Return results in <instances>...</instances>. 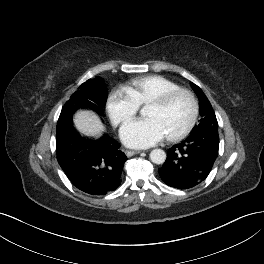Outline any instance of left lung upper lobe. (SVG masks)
Listing matches in <instances>:
<instances>
[{
	"mask_svg": "<svg viewBox=\"0 0 264 264\" xmlns=\"http://www.w3.org/2000/svg\"><path fill=\"white\" fill-rule=\"evenodd\" d=\"M192 87L199 98V110L202 117L199 125L195 126L192 132L205 127H214L218 129L215 113L207 97L197 85L192 83Z\"/></svg>",
	"mask_w": 264,
	"mask_h": 264,
	"instance_id": "obj_1",
	"label": "left lung upper lobe"
}]
</instances>
